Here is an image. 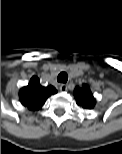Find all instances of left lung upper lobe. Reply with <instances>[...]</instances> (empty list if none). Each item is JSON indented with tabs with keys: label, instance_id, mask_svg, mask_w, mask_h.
<instances>
[{
	"label": "left lung upper lobe",
	"instance_id": "left-lung-upper-lobe-1",
	"mask_svg": "<svg viewBox=\"0 0 122 154\" xmlns=\"http://www.w3.org/2000/svg\"><path fill=\"white\" fill-rule=\"evenodd\" d=\"M74 96L77 104L83 108L92 109L95 106L96 100L93 97L88 85L76 87Z\"/></svg>",
	"mask_w": 122,
	"mask_h": 154
}]
</instances>
